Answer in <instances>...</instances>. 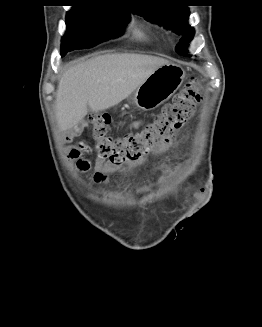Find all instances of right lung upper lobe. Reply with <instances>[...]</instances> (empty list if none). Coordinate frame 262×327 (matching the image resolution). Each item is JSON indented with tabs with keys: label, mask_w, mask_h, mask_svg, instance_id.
Wrapping results in <instances>:
<instances>
[{
	"label": "right lung upper lobe",
	"mask_w": 262,
	"mask_h": 327,
	"mask_svg": "<svg viewBox=\"0 0 262 327\" xmlns=\"http://www.w3.org/2000/svg\"><path fill=\"white\" fill-rule=\"evenodd\" d=\"M79 5L73 7L86 6L91 8L111 9L116 11L129 12L128 6L125 5H114V0H75Z\"/></svg>",
	"instance_id": "1"
}]
</instances>
